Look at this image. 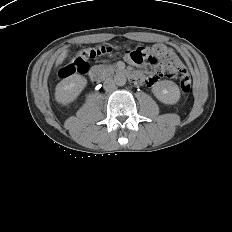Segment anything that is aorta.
I'll use <instances>...</instances> for the list:
<instances>
[{
  "instance_id": "762f6f07",
  "label": "aorta",
  "mask_w": 232,
  "mask_h": 232,
  "mask_svg": "<svg viewBox=\"0 0 232 232\" xmlns=\"http://www.w3.org/2000/svg\"><path fill=\"white\" fill-rule=\"evenodd\" d=\"M114 81L117 86H124L127 82V78L124 74H117L114 77Z\"/></svg>"
}]
</instances>
